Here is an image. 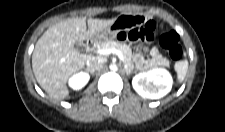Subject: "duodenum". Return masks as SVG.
<instances>
[{"instance_id": "duodenum-1", "label": "duodenum", "mask_w": 225, "mask_h": 132, "mask_svg": "<svg viewBox=\"0 0 225 132\" xmlns=\"http://www.w3.org/2000/svg\"><path fill=\"white\" fill-rule=\"evenodd\" d=\"M94 46H95V40L92 39V38L88 39V41H87V49L88 50H92L94 48Z\"/></svg>"}]
</instances>
